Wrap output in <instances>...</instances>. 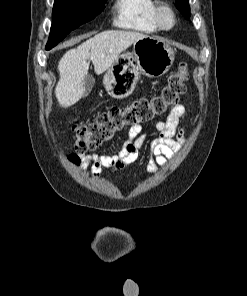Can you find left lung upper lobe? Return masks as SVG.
<instances>
[{
  "label": "left lung upper lobe",
  "mask_w": 247,
  "mask_h": 296,
  "mask_svg": "<svg viewBox=\"0 0 247 296\" xmlns=\"http://www.w3.org/2000/svg\"><path fill=\"white\" fill-rule=\"evenodd\" d=\"M176 6L186 18L190 17L189 0H177Z\"/></svg>",
  "instance_id": "1"
}]
</instances>
